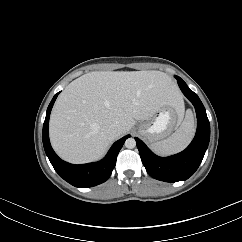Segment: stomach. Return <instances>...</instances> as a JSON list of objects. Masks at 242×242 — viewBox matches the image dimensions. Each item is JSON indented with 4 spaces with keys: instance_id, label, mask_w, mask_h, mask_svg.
<instances>
[{
    "instance_id": "obj_1",
    "label": "stomach",
    "mask_w": 242,
    "mask_h": 242,
    "mask_svg": "<svg viewBox=\"0 0 242 242\" xmlns=\"http://www.w3.org/2000/svg\"><path fill=\"white\" fill-rule=\"evenodd\" d=\"M183 112H178L172 107H163L158 115L141 123L138 132L151 144L156 143L170 135L181 123Z\"/></svg>"
}]
</instances>
